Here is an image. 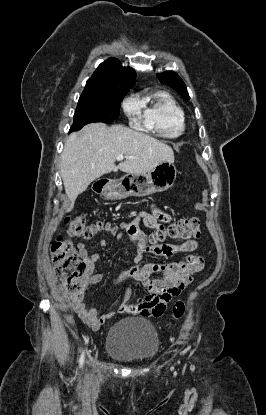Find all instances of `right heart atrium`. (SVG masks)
Segmentation results:
<instances>
[{"mask_svg":"<svg viewBox=\"0 0 266 415\" xmlns=\"http://www.w3.org/2000/svg\"><path fill=\"white\" fill-rule=\"evenodd\" d=\"M122 108L124 113L131 120H134L139 115L141 110L139 100L134 96L126 98L122 103Z\"/></svg>","mask_w":266,"mask_h":415,"instance_id":"1","label":"right heart atrium"}]
</instances>
